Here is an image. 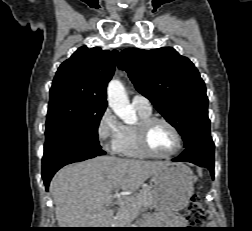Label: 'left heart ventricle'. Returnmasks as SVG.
Returning a JSON list of instances; mask_svg holds the SVG:
<instances>
[{"mask_svg": "<svg viewBox=\"0 0 252 231\" xmlns=\"http://www.w3.org/2000/svg\"><path fill=\"white\" fill-rule=\"evenodd\" d=\"M148 141L152 150L162 155L170 153L176 146V138L173 132L163 123H156L152 126Z\"/></svg>", "mask_w": 252, "mask_h": 231, "instance_id": "b2bd125f", "label": "left heart ventricle"}]
</instances>
